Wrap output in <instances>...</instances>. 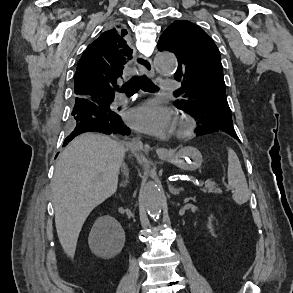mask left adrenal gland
I'll use <instances>...</instances> for the list:
<instances>
[{
  "mask_svg": "<svg viewBox=\"0 0 293 293\" xmlns=\"http://www.w3.org/2000/svg\"><path fill=\"white\" fill-rule=\"evenodd\" d=\"M168 188L171 194L178 195L181 191H183L182 188H174L170 183L168 184Z\"/></svg>",
  "mask_w": 293,
  "mask_h": 293,
  "instance_id": "a2214340",
  "label": "left adrenal gland"
}]
</instances>
